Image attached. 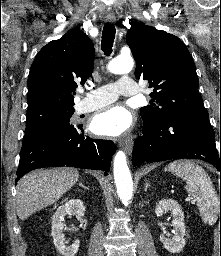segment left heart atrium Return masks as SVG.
I'll return each mask as SVG.
<instances>
[{
  "label": "left heart atrium",
  "instance_id": "1",
  "mask_svg": "<svg viewBox=\"0 0 221 256\" xmlns=\"http://www.w3.org/2000/svg\"><path fill=\"white\" fill-rule=\"evenodd\" d=\"M132 125L131 113L122 105H113L97 113L91 122L94 133L106 136H118Z\"/></svg>",
  "mask_w": 221,
  "mask_h": 256
}]
</instances>
